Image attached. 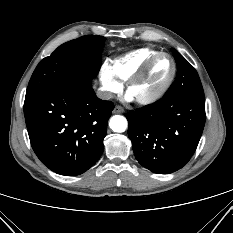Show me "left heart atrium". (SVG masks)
<instances>
[{
    "mask_svg": "<svg viewBox=\"0 0 233 233\" xmlns=\"http://www.w3.org/2000/svg\"><path fill=\"white\" fill-rule=\"evenodd\" d=\"M125 99L127 101H132L134 100L135 98L132 96V94L130 92H127L126 95H125Z\"/></svg>",
    "mask_w": 233,
    "mask_h": 233,
    "instance_id": "obj_1",
    "label": "left heart atrium"
}]
</instances>
